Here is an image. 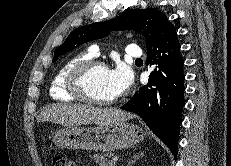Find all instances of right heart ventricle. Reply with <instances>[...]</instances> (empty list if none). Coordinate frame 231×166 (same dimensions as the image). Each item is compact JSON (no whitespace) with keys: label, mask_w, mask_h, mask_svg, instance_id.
<instances>
[{"label":"right heart ventricle","mask_w":231,"mask_h":166,"mask_svg":"<svg viewBox=\"0 0 231 166\" xmlns=\"http://www.w3.org/2000/svg\"><path fill=\"white\" fill-rule=\"evenodd\" d=\"M94 55L91 51H85L78 53L69 58L57 71L50 86V96L56 101H72L76 99L67 89V76L72 68L76 65L91 60Z\"/></svg>","instance_id":"obj_1"}]
</instances>
